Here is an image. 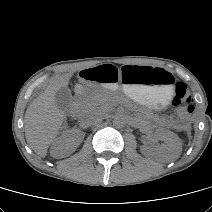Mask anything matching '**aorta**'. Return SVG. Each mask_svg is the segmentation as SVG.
<instances>
[{
	"instance_id": "obj_1",
	"label": "aorta",
	"mask_w": 212,
	"mask_h": 212,
	"mask_svg": "<svg viewBox=\"0 0 212 212\" xmlns=\"http://www.w3.org/2000/svg\"><path fill=\"white\" fill-rule=\"evenodd\" d=\"M113 125L116 128H122L126 125V119L123 115H116L113 119Z\"/></svg>"
}]
</instances>
